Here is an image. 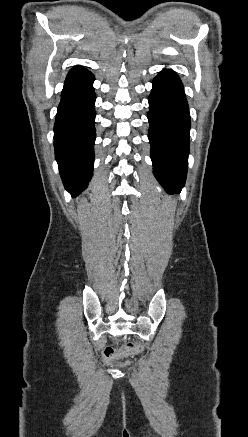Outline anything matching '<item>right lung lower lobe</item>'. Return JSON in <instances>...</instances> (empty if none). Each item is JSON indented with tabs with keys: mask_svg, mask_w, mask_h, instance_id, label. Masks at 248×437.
Listing matches in <instances>:
<instances>
[{
	"mask_svg": "<svg viewBox=\"0 0 248 437\" xmlns=\"http://www.w3.org/2000/svg\"><path fill=\"white\" fill-rule=\"evenodd\" d=\"M94 76L72 68L64 83L54 125L55 155L65 188L79 195L92 177L95 142Z\"/></svg>",
	"mask_w": 248,
	"mask_h": 437,
	"instance_id": "98d812e1",
	"label": "right lung lower lobe"
}]
</instances>
